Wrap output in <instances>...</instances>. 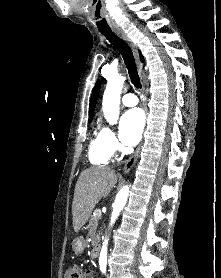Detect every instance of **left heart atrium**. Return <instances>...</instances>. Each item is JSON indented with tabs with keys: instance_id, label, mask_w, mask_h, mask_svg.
Returning a JSON list of instances; mask_svg holds the SVG:
<instances>
[{
	"instance_id": "39dd6f15",
	"label": "left heart atrium",
	"mask_w": 221,
	"mask_h": 278,
	"mask_svg": "<svg viewBox=\"0 0 221 278\" xmlns=\"http://www.w3.org/2000/svg\"><path fill=\"white\" fill-rule=\"evenodd\" d=\"M145 125L144 114L140 109L125 112L120 120V139L128 146L137 144Z\"/></svg>"
}]
</instances>
